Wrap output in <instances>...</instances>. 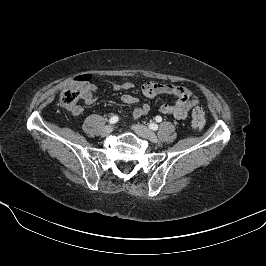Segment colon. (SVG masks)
Masks as SVG:
<instances>
[{
    "label": "colon",
    "instance_id": "colon-1",
    "mask_svg": "<svg viewBox=\"0 0 266 266\" xmlns=\"http://www.w3.org/2000/svg\"><path fill=\"white\" fill-rule=\"evenodd\" d=\"M90 80V76L76 78L60 96V103L67 111L72 112L78 105L82 85ZM205 126V113L202 107H194L191 115V127L194 131L200 132Z\"/></svg>",
    "mask_w": 266,
    "mask_h": 266
}]
</instances>
